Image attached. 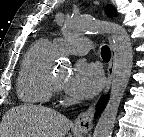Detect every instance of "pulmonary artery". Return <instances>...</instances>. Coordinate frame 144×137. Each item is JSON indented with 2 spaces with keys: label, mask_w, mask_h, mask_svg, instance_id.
<instances>
[{
  "label": "pulmonary artery",
  "mask_w": 144,
  "mask_h": 137,
  "mask_svg": "<svg viewBox=\"0 0 144 137\" xmlns=\"http://www.w3.org/2000/svg\"><path fill=\"white\" fill-rule=\"evenodd\" d=\"M53 44L58 53L71 55H85L93 48L92 41L85 37L56 38Z\"/></svg>",
  "instance_id": "pulmonary-artery-1"
}]
</instances>
